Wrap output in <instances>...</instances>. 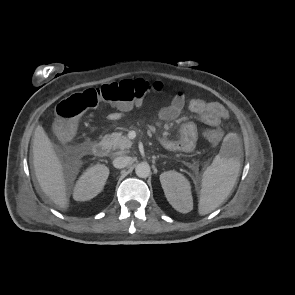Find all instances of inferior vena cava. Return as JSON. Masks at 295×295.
<instances>
[{
  "label": "inferior vena cava",
  "instance_id": "602c4592",
  "mask_svg": "<svg viewBox=\"0 0 295 295\" xmlns=\"http://www.w3.org/2000/svg\"><path fill=\"white\" fill-rule=\"evenodd\" d=\"M131 161L129 156H118L113 160V166L118 169L125 168Z\"/></svg>",
  "mask_w": 295,
  "mask_h": 295
}]
</instances>
